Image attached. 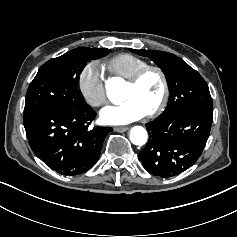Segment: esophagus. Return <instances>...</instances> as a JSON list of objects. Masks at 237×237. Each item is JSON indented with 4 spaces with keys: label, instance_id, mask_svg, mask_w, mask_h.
<instances>
[{
    "label": "esophagus",
    "instance_id": "obj_1",
    "mask_svg": "<svg viewBox=\"0 0 237 237\" xmlns=\"http://www.w3.org/2000/svg\"><path fill=\"white\" fill-rule=\"evenodd\" d=\"M113 130L116 132H125L128 130V126H115L113 127Z\"/></svg>",
    "mask_w": 237,
    "mask_h": 237
}]
</instances>
